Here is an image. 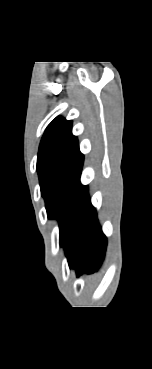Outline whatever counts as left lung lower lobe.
<instances>
[{
  "instance_id": "0a47b994",
  "label": "left lung lower lobe",
  "mask_w": 152,
  "mask_h": 369,
  "mask_svg": "<svg viewBox=\"0 0 152 369\" xmlns=\"http://www.w3.org/2000/svg\"><path fill=\"white\" fill-rule=\"evenodd\" d=\"M106 245L88 187L82 186L62 242L69 267L76 269L77 276L84 271L94 272L104 259Z\"/></svg>"
}]
</instances>
